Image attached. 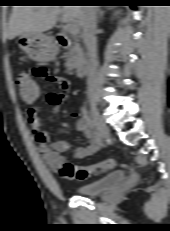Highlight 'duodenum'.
<instances>
[{
	"label": "duodenum",
	"mask_w": 170,
	"mask_h": 231,
	"mask_svg": "<svg viewBox=\"0 0 170 231\" xmlns=\"http://www.w3.org/2000/svg\"><path fill=\"white\" fill-rule=\"evenodd\" d=\"M57 40L61 47H67L68 46V39L61 33L57 35ZM74 69L76 73L80 76L87 75L90 71V62L89 59L81 55L77 58L74 64Z\"/></svg>",
	"instance_id": "1"
}]
</instances>
